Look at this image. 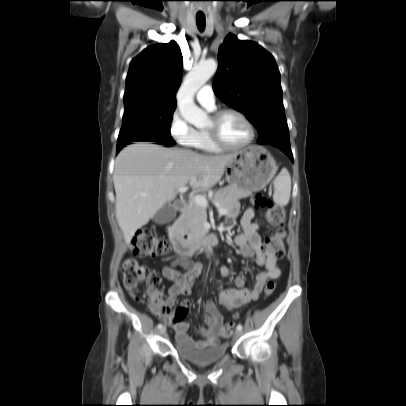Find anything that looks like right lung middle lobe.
Returning a JSON list of instances; mask_svg holds the SVG:
<instances>
[{"label": "right lung middle lobe", "mask_w": 406, "mask_h": 406, "mask_svg": "<svg viewBox=\"0 0 406 406\" xmlns=\"http://www.w3.org/2000/svg\"><path fill=\"white\" fill-rule=\"evenodd\" d=\"M175 108L132 107L125 109L122 127L117 140V148L131 142H175L170 135V123Z\"/></svg>", "instance_id": "dd1d6c3e"}]
</instances>
